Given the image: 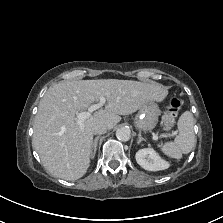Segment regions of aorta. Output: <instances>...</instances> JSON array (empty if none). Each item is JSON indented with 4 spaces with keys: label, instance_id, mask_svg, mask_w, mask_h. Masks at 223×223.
<instances>
[{
    "label": "aorta",
    "instance_id": "762f6f07",
    "mask_svg": "<svg viewBox=\"0 0 223 223\" xmlns=\"http://www.w3.org/2000/svg\"><path fill=\"white\" fill-rule=\"evenodd\" d=\"M116 137L122 142L129 141L131 137V130L128 127H120L116 130Z\"/></svg>",
    "mask_w": 223,
    "mask_h": 223
}]
</instances>
